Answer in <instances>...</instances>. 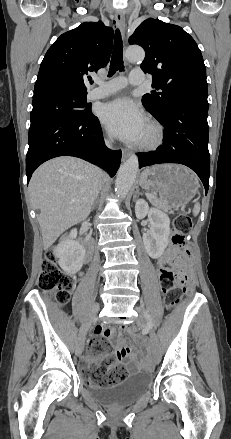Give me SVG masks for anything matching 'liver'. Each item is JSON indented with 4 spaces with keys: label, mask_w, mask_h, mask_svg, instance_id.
Segmentation results:
<instances>
[{
    "label": "liver",
    "mask_w": 231,
    "mask_h": 439,
    "mask_svg": "<svg viewBox=\"0 0 231 439\" xmlns=\"http://www.w3.org/2000/svg\"><path fill=\"white\" fill-rule=\"evenodd\" d=\"M105 178L94 165L75 157H58L32 175L29 193L39 209L43 248L48 249L73 225L85 220Z\"/></svg>",
    "instance_id": "6515ba94"
}]
</instances>
